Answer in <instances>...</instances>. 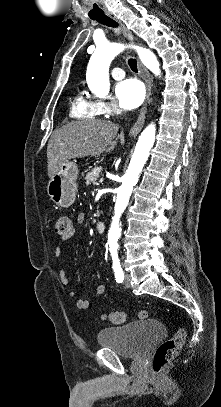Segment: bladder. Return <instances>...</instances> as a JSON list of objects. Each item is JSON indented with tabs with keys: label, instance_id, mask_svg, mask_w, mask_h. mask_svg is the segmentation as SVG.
Instances as JSON below:
<instances>
[{
	"label": "bladder",
	"instance_id": "bladder-1",
	"mask_svg": "<svg viewBox=\"0 0 221 407\" xmlns=\"http://www.w3.org/2000/svg\"><path fill=\"white\" fill-rule=\"evenodd\" d=\"M165 334L166 327L161 320H139L101 329L97 333V343L101 347L112 348L121 356L136 358Z\"/></svg>",
	"mask_w": 221,
	"mask_h": 407
}]
</instances>
